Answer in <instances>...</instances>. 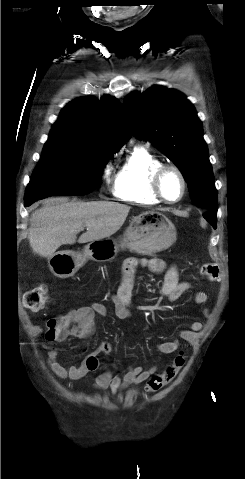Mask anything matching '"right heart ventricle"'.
<instances>
[{"instance_id": "1", "label": "right heart ventricle", "mask_w": 245, "mask_h": 479, "mask_svg": "<svg viewBox=\"0 0 245 479\" xmlns=\"http://www.w3.org/2000/svg\"><path fill=\"white\" fill-rule=\"evenodd\" d=\"M163 165L162 160L148 147L135 146L119 168L113 185V193L120 200L155 205L160 202L152 190V176Z\"/></svg>"}]
</instances>
